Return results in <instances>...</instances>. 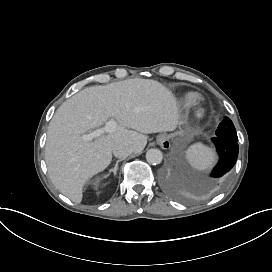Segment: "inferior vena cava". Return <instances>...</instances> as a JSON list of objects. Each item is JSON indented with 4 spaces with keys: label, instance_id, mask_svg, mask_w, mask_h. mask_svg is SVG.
Returning <instances> with one entry per match:
<instances>
[{
    "label": "inferior vena cava",
    "instance_id": "obj_1",
    "mask_svg": "<svg viewBox=\"0 0 272 272\" xmlns=\"http://www.w3.org/2000/svg\"><path fill=\"white\" fill-rule=\"evenodd\" d=\"M133 152L132 146L128 145L127 143H122L119 145H116L113 148V154L114 156L118 158H126Z\"/></svg>",
    "mask_w": 272,
    "mask_h": 272
}]
</instances>
